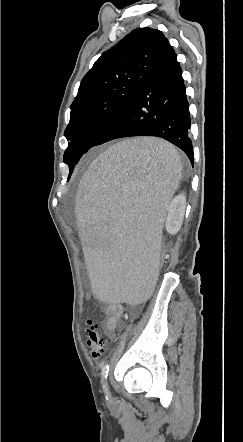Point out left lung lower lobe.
<instances>
[{
	"label": "left lung lower lobe",
	"mask_w": 243,
	"mask_h": 442,
	"mask_svg": "<svg viewBox=\"0 0 243 442\" xmlns=\"http://www.w3.org/2000/svg\"><path fill=\"white\" fill-rule=\"evenodd\" d=\"M190 126L182 70L168 43L134 97L97 145L122 137H160L182 149L193 165Z\"/></svg>",
	"instance_id": "left-lung-lower-lobe-1"
}]
</instances>
